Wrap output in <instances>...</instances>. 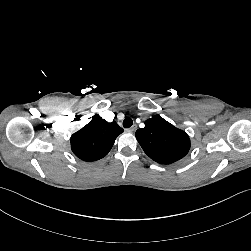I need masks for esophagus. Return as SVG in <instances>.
<instances>
[{
    "label": "esophagus",
    "mask_w": 251,
    "mask_h": 251,
    "mask_svg": "<svg viewBox=\"0 0 251 251\" xmlns=\"http://www.w3.org/2000/svg\"><path fill=\"white\" fill-rule=\"evenodd\" d=\"M136 129H137V126H136V125H133V126L130 127L129 129H127V131L133 133V132L136 131Z\"/></svg>",
    "instance_id": "obj_1"
}]
</instances>
